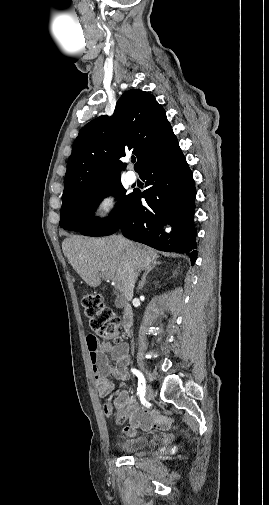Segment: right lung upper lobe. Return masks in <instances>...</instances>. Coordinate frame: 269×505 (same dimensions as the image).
<instances>
[{"label":"right lung upper lobe","instance_id":"obj_1","mask_svg":"<svg viewBox=\"0 0 269 505\" xmlns=\"http://www.w3.org/2000/svg\"><path fill=\"white\" fill-rule=\"evenodd\" d=\"M177 142L166 112L148 92L132 89L116 104L111 117L86 124L74 141L67 163L62 201L79 192L120 180L126 153L137 156L135 170Z\"/></svg>","mask_w":269,"mask_h":505}]
</instances>
